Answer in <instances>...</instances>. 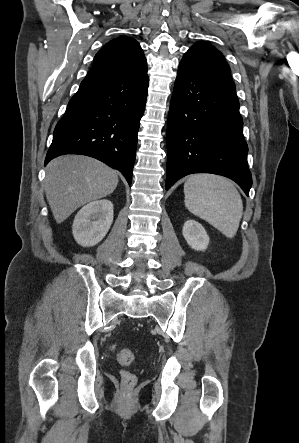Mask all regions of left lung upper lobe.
Listing matches in <instances>:
<instances>
[{"instance_id": "obj_1", "label": "left lung upper lobe", "mask_w": 299, "mask_h": 443, "mask_svg": "<svg viewBox=\"0 0 299 443\" xmlns=\"http://www.w3.org/2000/svg\"><path fill=\"white\" fill-rule=\"evenodd\" d=\"M179 67L235 88L230 68L224 56L207 43L194 44L184 54Z\"/></svg>"}]
</instances>
